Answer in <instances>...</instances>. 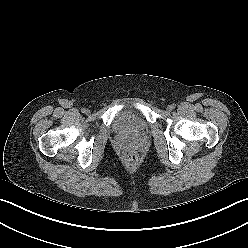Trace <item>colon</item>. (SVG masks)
Instances as JSON below:
<instances>
[{
  "mask_svg": "<svg viewBox=\"0 0 248 248\" xmlns=\"http://www.w3.org/2000/svg\"><path fill=\"white\" fill-rule=\"evenodd\" d=\"M124 162L129 166H134L138 162L137 154L132 150H126L122 154Z\"/></svg>",
  "mask_w": 248,
  "mask_h": 248,
  "instance_id": "obj_1",
  "label": "colon"
}]
</instances>
